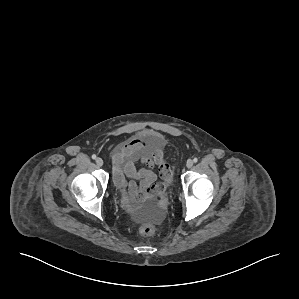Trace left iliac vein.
<instances>
[{
  "instance_id": "1",
  "label": "left iliac vein",
  "mask_w": 299,
  "mask_h": 299,
  "mask_svg": "<svg viewBox=\"0 0 299 299\" xmlns=\"http://www.w3.org/2000/svg\"><path fill=\"white\" fill-rule=\"evenodd\" d=\"M186 166L187 168H191L193 166V161L191 159L187 160Z\"/></svg>"
}]
</instances>
